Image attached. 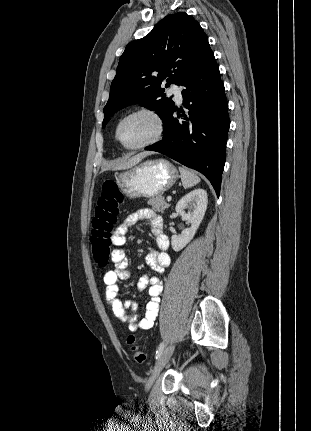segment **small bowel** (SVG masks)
Returning <instances> with one entry per match:
<instances>
[{"label": "small bowel", "mask_w": 311, "mask_h": 431, "mask_svg": "<svg viewBox=\"0 0 311 431\" xmlns=\"http://www.w3.org/2000/svg\"><path fill=\"white\" fill-rule=\"evenodd\" d=\"M141 221L150 222V230L155 238L157 249H151L146 256V263L149 267L159 273H164L170 264V256L167 252L169 248V238L163 231V218L155 211L143 208L128 215L113 234L112 242L115 249L112 253V261L115 269L107 271L104 275L106 285L105 298L108 306L115 317L129 327L134 332L137 330L150 329L158 316L160 307V295L162 293V283L157 276H143L138 282V289L143 290L148 287L150 301L146 306L143 317H140L136 310L137 305L130 300H121L118 297V281L128 279V260L126 257L124 245L126 243V234L128 230Z\"/></svg>", "instance_id": "obj_1"}]
</instances>
